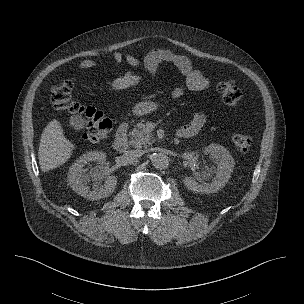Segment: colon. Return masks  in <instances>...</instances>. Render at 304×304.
I'll return each instance as SVG.
<instances>
[{
	"label": "colon",
	"mask_w": 304,
	"mask_h": 304,
	"mask_svg": "<svg viewBox=\"0 0 304 304\" xmlns=\"http://www.w3.org/2000/svg\"><path fill=\"white\" fill-rule=\"evenodd\" d=\"M72 79H64L58 82L51 93V102L57 111L79 115L84 119L85 130L82 137L89 141H101L106 138L112 128L111 120L101 111L94 107L82 106L72 99ZM217 91L221 95L222 102L230 108H235L241 99V92L233 80H223L217 83ZM235 148L242 153L248 152L252 139L243 133H236L232 136Z\"/></svg>",
	"instance_id": "5ec220e1"
}]
</instances>
